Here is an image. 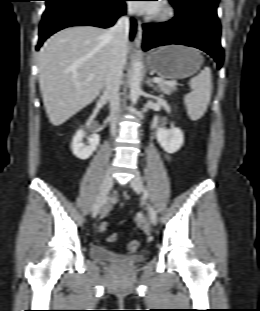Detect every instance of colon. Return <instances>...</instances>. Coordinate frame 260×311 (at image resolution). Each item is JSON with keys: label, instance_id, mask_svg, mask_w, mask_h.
<instances>
[{"label": "colon", "instance_id": "colon-1", "mask_svg": "<svg viewBox=\"0 0 260 311\" xmlns=\"http://www.w3.org/2000/svg\"><path fill=\"white\" fill-rule=\"evenodd\" d=\"M108 228V222H102L100 224V231H105L106 229ZM118 239V234L116 233H113L111 235L108 236L107 238V241L110 242V243H113V242H116ZM139 246H140V243L138 240H131L129 243H128V249L129 251L131 252H135L139 249Z\"/></svg>", "mask_w": 260, "mask_h": 311}]
</instances>
